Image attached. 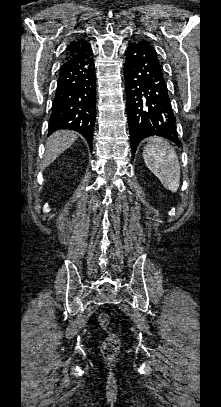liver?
<instances>
[{
  "instance_id": "liver-1",
  "label": "liver",
  "mask_w": 221,
  "mask_h": 407,
  "mask_svg": "<svg viewBox=\"0 0 221 407\" xmlns=\"http://www.w3.org/2000/svg\"><path fill=\"white\" fill-rule=\"evenodd\" d=\"M77 139V134L70 130H60L50 135L46 142V151L42 161L41 168L49 166L68 149Z\"/></svg>"
}]
</instances>
